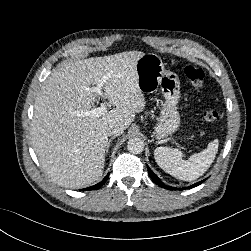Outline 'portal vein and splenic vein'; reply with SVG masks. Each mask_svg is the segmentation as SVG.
Masks as SVG:
<instances>
[{"instance_id":"portal-vein-and-splenic-vein-1","label":"portal vein and splenic vein","mask_w":251,"mask_h":251,"mask_svg":"<svg viewBox=\"0 0 251 251\" xmlns=\"http://www.w3.org/2000/svg\"><path fill=\"white\" fill-rule=\"evenodd\" d=\"M102 86L103 82H100L97 84V86L92 87L91 91L96 93L102 98H106L103 91H102ZM107 112V106L106 105H101L100 107L94 108L92 110H87V111H77L75 114L77 116H92V117H100L104 115Z\"/></svg>"}]
</instances>
